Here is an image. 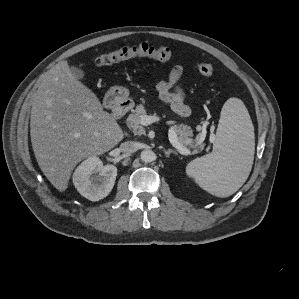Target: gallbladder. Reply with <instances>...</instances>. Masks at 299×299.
Returning a JSON list of instances; mask_svg holds the SVG:
<instances>
[{
  "mask_svg": "<svg viewBox=\"0 0 299 299\" xmlns=\"http://www.w3.org/2000/svg\"><path fill=\"white\" fill-rule=\"evenodd\" d=\"M71 72L75 76V78L78 79V80H82L85 77L84 71L77 68V67H72Z\"/></svg>",
  "mask_w": 299,
  "mask_h": 299,
  "instance_id": "1",
  "label": "gallbladder"
}]
</instances>
